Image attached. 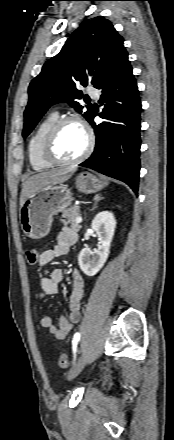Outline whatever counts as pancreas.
<instances>
[{
    "label": "pancreas",
    "instance_id": "1",
    "mask_svg": "<svg viewBox=\"0 0 174 440\" xmlns=\"http://www.w3.org/2000/svg\"><path fill=\"white\" fill-rule=\"evenodd\" d=\"M79 214H80V208L77 205H74L68 208L67 210H65L62 214V219H61L63 225L64 226L70 225L72 230L79 232L81 226L76 223V218L79 216Z\"/></svg>",
    "mask_w": 174,
    "mask_h": 440
}]
</instances>
